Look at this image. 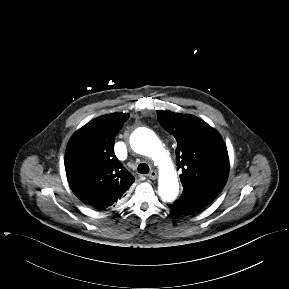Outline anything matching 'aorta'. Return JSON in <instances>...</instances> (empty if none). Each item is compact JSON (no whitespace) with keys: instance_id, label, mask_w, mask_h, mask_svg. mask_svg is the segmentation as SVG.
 <instances>
[{"instance_id":"aorta-1","label":"aorta","mask_w":289,"mask_h":289,"mask_svg":"<svg viewBox=\"0 0 289 289\" xmlns=\"http://www.w3.org/2000/svg\"><path fill=\"white\" fill-rule=\"evenodd\" d=\"M132 149L148 157L159 168L158 193L163 201L172 202L178 195L179 183L174 164L158 137L148 129L134 132L130 137Z\"/></svg>"}]
</instances>
